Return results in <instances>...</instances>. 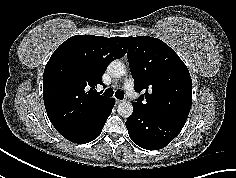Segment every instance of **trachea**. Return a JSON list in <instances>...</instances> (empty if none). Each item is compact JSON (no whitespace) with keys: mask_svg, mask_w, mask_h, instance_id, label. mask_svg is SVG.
<instances>
[{"mask_svg":"<svg viewBox=\"0 0 236 178\" xmlns=\"http://www.w3.org/2000/svg\"><path fill=\"white\" fill-rule=\"evenodd\" d=\"M113 94H114V91L112 88L106 89L105 92L103 93V95L108 96V97H112ZM115 97L122 100L124 98L123 91L117 90L115 92Z\"/></svg>","mask_w":236,"mask_h":178,"instance_id":"obj_1","label":"trachea"}]
</instances>
